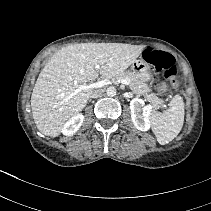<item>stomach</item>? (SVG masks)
<instances>
[{
  "label": "stomach",
  "instance_id": "0dacf381",
  "mask_svg": "<svg viewBox=\"0 0 211 211\" xmlns=\"http://www.w3.org/2000/svg\"><path fill=\"white\" fill-rule=\"evenodd\" d=\"M131 72L142 82H147L152 79L150 66L142 57L131 65Z\"/></svg>",
  "mask_w": 211,
  "mask_h": 211
}]
</instances>
